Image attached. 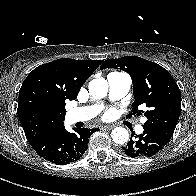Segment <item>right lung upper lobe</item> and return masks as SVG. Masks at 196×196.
<instances>
[{
    "label": "right lung upper lobe",
    "mask_w": 196,
    "mask_h": 196,
    "mask_svg": "<svg viewBox=\"0 0 196 196\" xmlns=\"http://www.w3.org/2000/svg\"><path fill=\"white\" fill-rule=\"evenodd\" d=\"M103 60L57 59L35 68L19 91L18 117L30 144L64 125L65 101L74 100Z\"/></svg>",
    "instance_id": "cb5924a9"
}]
</instances>
